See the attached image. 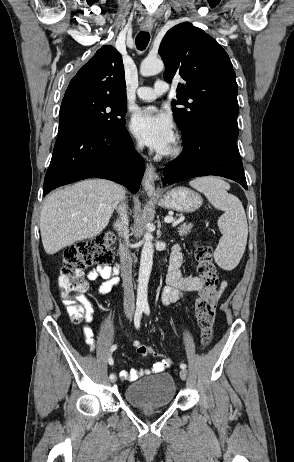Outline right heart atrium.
I'll return each mask as SVG.
<instances>
[{"label":"right heart atrium","mask_w":294,"mask_h":462,"mask_svg":"<svg viewBox=\"0 0 294 462\" xmlns=\"http://www.w3.org/2000/svg\"><path fill=\"white\" fill-rule=\"evenodd\" d=\"M135 147H136V149H140V148H141V143H140V142H136Z\"/></svg>","instance_id":"d8ad5b80"}]
</instances>
